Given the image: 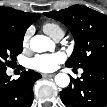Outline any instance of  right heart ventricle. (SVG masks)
I'll return each mask as SVG.
<instances>
[{"label": "right heart ventricle", "instance_id": "obj_1", "mask_svg": "<svg viewBox=\"0 0 107 107\" xmlns=\"http://www.w3.org/2000/svg\"><path fill=\"white\" fill-rule=\"evenodd\" d=\"M43 31L55 40L62 38L65 34V31L62 26L55 22L45 23L43 25Z\"/></svg>", "mask_w": 107, "mask_h": 107}]
</instances>
